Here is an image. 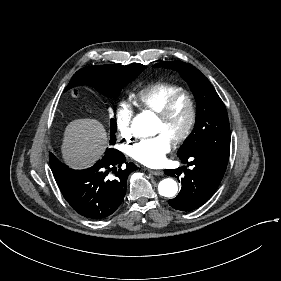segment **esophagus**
<instances>
[{
	"mask_svg": "<svg viewBox=\"0 0 281 281\" xmlns=\"http://www.w3.org/2000/svg\"><path fill=\"white\" fill-rule=\"evenodd\" d=\"M148 171L153 174V175H156V176H162L164 173L162 170H152V169H148Z\"/></svg>",
	"mask_w": 281,
	"mask_h": 281,
	"instance_id": "obj_1",
	"label": "esophagus"
}]
</instances>
